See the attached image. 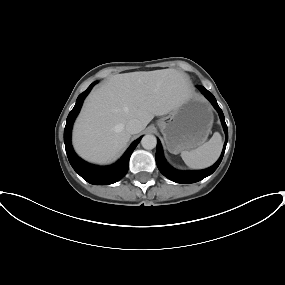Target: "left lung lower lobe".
Instances as JSON below:
<instances>
[{"label":"left lung lower lobe","mask_w":285,"mask_h":285,"mask_svg":"<svg viewBox=\"0 0 285 285\" xmlns=\"http://www.w3.org/2000/svg\"><path fill=\"white\" fill-rule=\"evenodd\" d=\"M197 88L201 91L202 94H204V96L212 103V105L218 111L222 125H223V128H224V131H225L226 139H225L222 154H221L220 158L218 159V161L213 166H211L210 168H207L204 170H199V171H178V170L173 169L164 159L162 146H161V143L158 139L157 140V149H156L157 167L164 176H166L168 179H170L174 182H177V183H195V182H198V181L204 179L205 177L209 176L210 174H212L217 169V167L219 166V164L223 158L225 148H226V144L228 141V130H227V125L225 123V118H224V115H223L221 108L218 106V104L216 102L215 97L208 90H206L203 86L197 85Z\"/></svg>","instance_id":"left-lung-lower-lobe-1"}]
</instances>
